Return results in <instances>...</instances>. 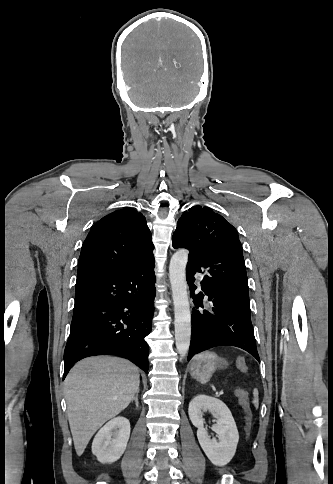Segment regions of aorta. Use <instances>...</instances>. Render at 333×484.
<instances>
[{"mask_svg":"<svg viewBox=\"0 0 333 484\" xmlns=\"http://www.w3.org/2000/svg\"><path fill=\"white\" fill-rule=\"evenodd\" d=\"M187 261L188 251L182 248L174 253L169 265L175 314V341L181 357L188 353L191 340V313L186 282Z\"/></svg>","mask_w":333,"mask_h":484,"instance_id":"762f6f07","label":"aorta"}]
</instances>
